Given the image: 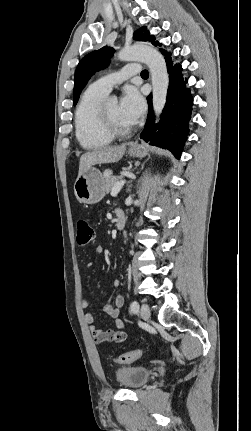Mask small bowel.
<instances>
[{"label":"small bowel","mask_w":251,"mask_h":431,"mask_svg":"<svg viewBox=\"0 0 251 431\" xmlns=\"http://www.w3.org/2000/svg\"><path fill=\"white\" fill-rule=\"evenodd\" d=\"M102 246L95 248L97 255L102 254ZM93 263H88V267H92ZM120 286L119 280H114L112 283L113 291L117 290ZM80 305L83 309H88L90 302L87 298L82 297ZM124 305V298L119 294H112L106 304L102 307V311L106 313L112 320L114 329H100L95 325V318L91 313L85 314V321L89 326L90 333L96 343L110 342V343H121L126 340L127 334L124 331L125 324L119 318L121 309Z\"/></svg>","instance_id":"c3829d8e"}]
</instances>
